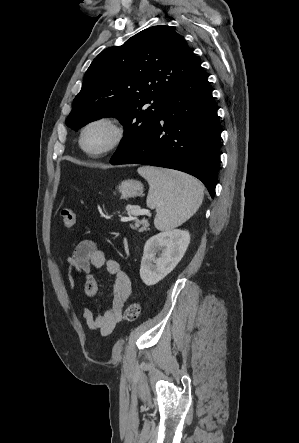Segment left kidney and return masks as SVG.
<instances>
[{
    "instance_id": "left-kidney-1",
    "label": "left kidney",
    "mask_w": 299,
    "mask_h": 443,
    "mask_svg": "<svg viewBox=\"0 0 299 443\" xmlns=\"http://www.w3.org/2000/svg\"><path fill=\"white\" fill-rule=\"evenodd\" d=\"M190 243L186 230L173 229L150 237L144 245L140 266L142 281L150 286L168 275L184 256ZM161 251L159 257L156 254Z\"/></svg>"
}]
</instances>
